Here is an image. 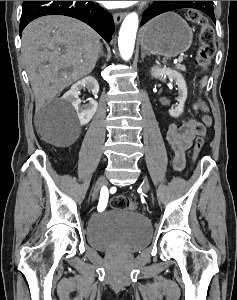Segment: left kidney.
Masks as SVG:
<instances>
[{"label":"left kidney","mask_w":237,"mask_h":300,"mask_svg":"<svg viewBox=\"0 0 237 300\" xmlns=\"http://www.w3.org/2000/svg\"><path fill=\"white\" fill-rule=\"evenodd\" d=\"M151 75L154 79H159L161 75H168L169 79L175 81L178 87L179 105L176 109H170L168 113L170 117H180L184 111V105L188 95L184 77H182L181 73H178V71L166 69V67H164V69H160V67H153V69H151Z\"/></svg>","instance_id":"1"}]
</instances>
